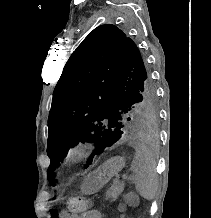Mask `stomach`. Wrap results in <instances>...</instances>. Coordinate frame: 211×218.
<instances>
[{
  "label": "stomach",
  "instance_id": "0dacf381",
  "mask_svg": "<svg viewBox=\"0 0 211 218\" xmlns=\"http://www.w3.org/2000/svg\"><path fill=\"white\" fill-rule=\"evenodd\" d=\"M125 166L122 157L117 156L107 160L96 170L90 173L82 183V192L85 194H93L99 191L113 176Z\"/></svg>",
  "mask_w": 211,
  "mask_h": 218
}]
</instances>
